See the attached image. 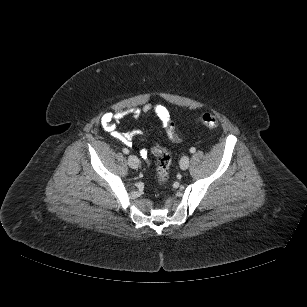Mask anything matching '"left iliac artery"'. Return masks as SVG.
I'll use <instances>...</instances> for the list:
<instances>
[{
    "label": "left iliac artery",
    "instance_id": "obj_1",
    "mask_svg": "<svg viewBox=\"0 0 307 307\" xmlns=\"http://www.w3.org/2000/svg\"><path fill=\"white\" fill-rule=\"evenodd\" d=\"M195 151H196V149H195L194 147H192V148L190 149V152H191V153H195Z\"/></svg>",
    "mask_w": 307,
    "mask_h": 307
}]
</instances>
